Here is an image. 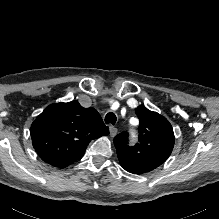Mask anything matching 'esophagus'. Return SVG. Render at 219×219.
<instances>
[{"label": "esophagus", "mask_w": 219, "mask_h": 219, "mask_svg": "<svg viewBox=\"0 0 219 219\" xmlns=\"http://www.w3.org/2000/svg\"><path fill=\"white\" fill-rule=\"evenodd\" d=\"M109 131H110V136L115 137L117 135L118 129L114 126H110Z\"/></svg>", "instance_id": "obj_1"}]
</instances>
